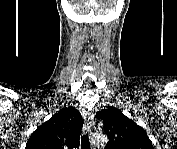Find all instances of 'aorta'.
I'll return each mask as SVG.
<instances>
[{
	"label": "aorta",
	"mask_w": 177,
	"mask_h": 149,
	"mask_svg": "<svg viewBox=\"0 0 177 149\" xmlns=\"http://www.w3.org/2000/svg\"><path fill=\"white\" fill-rule=\"evenodd\" d=\"M107 142V137L104 134H97L93 138V143L96 145H104Z\"/></svg>",
	"instance_id": "obj_1"
}]
</instances>
